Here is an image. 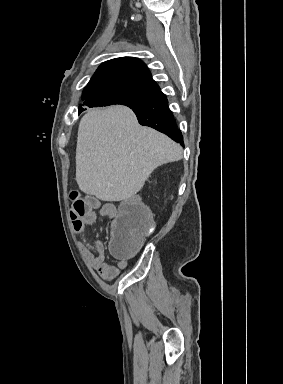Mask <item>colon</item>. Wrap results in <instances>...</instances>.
Instances as JSON below:
<instances>
[{
    "instance_id": "1",
    "label": "colon",
    "mask_w": 283,
    "mask_h": 384,
    "mask_svg": "<svg viewBox=\"0 0 283 384\" xmlns=\"http://www.w3.org/2000/svg\"><path fill=\"white\" fill-rule=\"evenodd\" d=\"M70 216L73 224L79 225L85 215L98 205L91 197L83 198L74 191L70 194ZM153 230V220L147 207L138 198L124 201L111 224L110 251L119 259L132 257L139 249L143 236Z\"/></svg>"
}]
</instances>
